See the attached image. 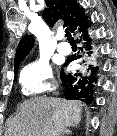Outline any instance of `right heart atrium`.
<instances>
[{
	"mask_svg": "<svg viewBox=\"0 0 117 136\" xmlns=\"http://www.w3.org/2000/svg\"><path fill=\"white\" fill-rule=\"evenodd\" d=\"M19 83L23 95L27 97L52 92L57 85L49 64L44 60L27 64L20 72Z\"/></svg>",
	"mask_w": 117,
	"mask_h": 136,
	"instance_id": "right-heart-atrium-1",
	"label": "right heart atrium"
}]
</instances>
